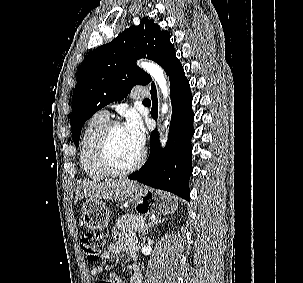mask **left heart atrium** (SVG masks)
I'll list each match as a JSON object with an SVG mask.
<instances>
[{
  "mask_svg": "<svg viewBox=\"0 0 303 283\" xmlns=\"http://www.w3.org/2000/svg\"><path fill=\"white\" fill-rule=\"evenodd\" d=\"M123 127L133 144L141 150L145 144L146 133L140 117L130 113Z\"/></svg>",
  "mask_w": 303,
  "mask_h": 283,
  "instance_id": "left-heart-atrium-1",
  "label": "left heart atrium"
}]
</instances>
